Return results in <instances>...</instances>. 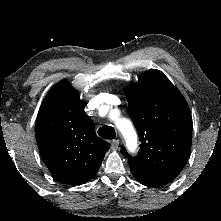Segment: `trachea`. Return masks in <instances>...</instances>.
<instances>
[{"instance_id": "obj_1", "label": "trachea", "mask_w": 221, "mask_h": 221, "mask_svg": "<svg viewBox=\"0 0 221 221\" xmlns=\"http://www.w3.org/2000/svg\"><path fill=\"white\" fill-rule=\"evenodd\" d=\"M98 135L105 139H114L116 136L115 130L111 126H103L98 129Z\"/></svg>"}]
</instances>
